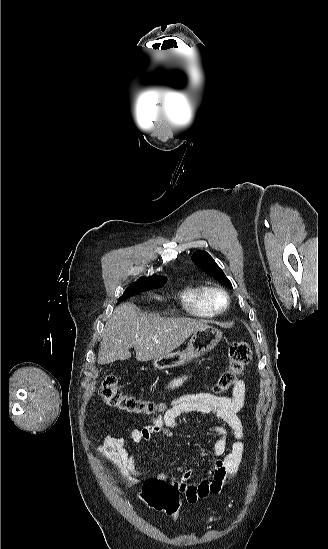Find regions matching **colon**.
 <instances>
[{"mask_svg": "<svg viewBox=\"0 0 328 549\" xmlns=\"http://www.w3.org/2000/svg\"><path fill=\"white\" fill-rule=\"evenodd\" d=\"M228 365L221 373L213 387L217 394L224 393L234 384L237 375L249 363L252 358V350L244 341L231 344L227 349ZM100 396L109 406L121 410L152 415L164 409L161 403L149 399H141L125 394L113 375L107 376L101 383ZM180 490L172 482L166 479H150L144 482L142 490L138 493L137 501L147 508L166 513L175 522L181 518L180 514Z\"/></svg>", "mask_w": 328, "mask_h": 549, "instance_id": "colon-1", "label": "colon"}]
</instances>
